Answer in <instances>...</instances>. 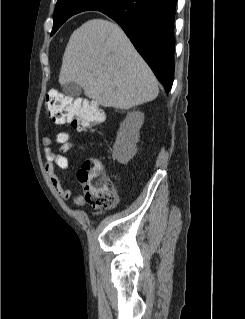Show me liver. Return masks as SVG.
<instances>
[{
	"instance_id": "6515ba94",
	"label": "liver",
	"mask_w": 245,
	"mask_h": 319,
	"mask_svg": "<svg viewBox=\"0 0 245 319\" xmlns=\"http://www.w3.org/2000/svg\"><path fill=\"white\" fill-rule=\"evenodd\" d=\"M75 82L103 107L130 109L154 100L157 79L124 31L105 19H91L71 35L59 83Z\"/></svg>"
}]
</instances>
